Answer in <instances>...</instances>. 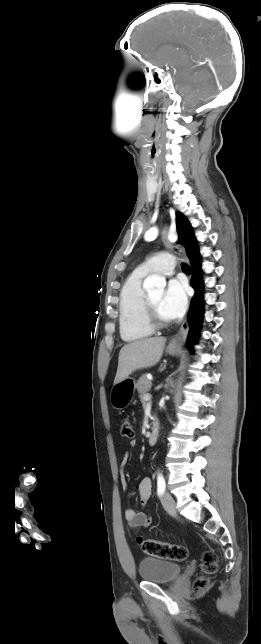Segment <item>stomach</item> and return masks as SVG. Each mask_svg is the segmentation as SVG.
Returning a JSON list of instances; mask_svg holds the SVG:
<instances>
[{"instance_id": "stomach-1", "label": "stomach", "mask_w": 261, "mask_h": 644, "mask_svg": "<svg viewBox=\"0 0 261 644\" xmlns=\"http://www.w3.org/2000/svg\"><path fill=\"white\" fill-rule=\"evenodd\" d=\"M167 353L176 355L182 352L181 346H173L170 344L167 347ZM136 382L133 378L127 377L121 382L113 385L110 393V402L113 408L122 410L129 406L134 398Z\"/></svg>"}]
</instances>
